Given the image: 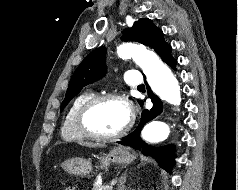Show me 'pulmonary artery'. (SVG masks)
<instances>
[{
	"label": "pulmonary artery",
	"instance_id": "1",
	"mask_svg": "<svg viewBox=\"0 0 238 190\" xmlns=\"http://www.w3.org/2000/svg\"><path fill=\"white\" fill-rule=\"evenodd\" d=\"M125 82L132 87L140 86L143 82L140 73L136 70L128 71L125 75Z\"/></svg>",
	"mask_w": 238,
	"mask_h": 190
}]
</instances>
